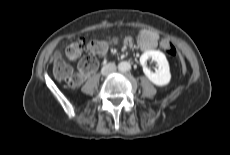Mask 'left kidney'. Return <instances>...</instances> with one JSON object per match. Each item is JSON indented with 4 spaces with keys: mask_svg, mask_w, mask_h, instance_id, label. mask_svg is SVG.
<instances>
[{
    "mask_svg": "<svg viewBox=\"0 0 230 155\" xmlns=\"http://www.w3.org/2000/svg\"><path fill=\"white\" fill-rule=\"evenodd\" d=\"M150 58L157 62L158 69L155 73L146 67L147 60ZM140 63L143 66L145 75L153 84L156 86L169 84L171 80L170 67L166 56L162 52L157 50L146 51L141 55Z\"/></svg>",
    "mask_w": 230,
    "mask_h": 155,
    "instance_id": "5707ae66",
    "label": "left kidney"
}]
</instances>
